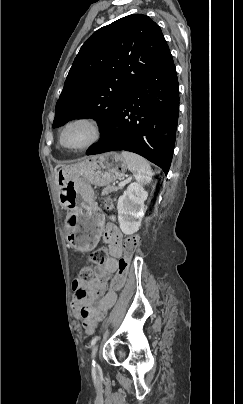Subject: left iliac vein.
Segmentation results:
<instances>
[{
    "label": "left iliac vein",
    "mask_w": 243,
    "mask_h": 404,
    "mask_svg": "<svg viewBox=\"0 0 243 404\" xmlns=\"http://www.w3.org/2000/svg\"><path fill=\"white\" fill-rule=\"evenodd\" d=\"M97 350H98V345L94 346L92 349V353H91L92 361H94L96 359Z\"/></svg>",
    "instance_id": "obj_1"
}]
</instances>
